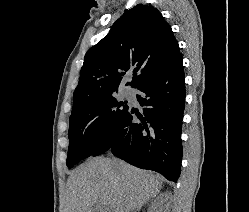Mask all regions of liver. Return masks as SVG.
<instances>
[{"instance_id":"1","label":"liver","mask_w":249,"mask_h":212,"mask_svg":"<svg viewBox=\"0 0 249 212\" xmlns=\"http://www.w3.org/2000/svg\"><path fill=\"white\" fill-rule=\"evenodd\" d=\"M163 188L162 176H154L114 158H90L78 166L67 182V212H136L157 198Z\"/></svg>"}]
</instances>
